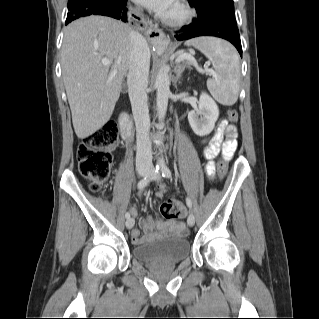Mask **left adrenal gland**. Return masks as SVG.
<instances>
[{
  "instance_id": "a2214340",
  "label": "left adrenal gland",
  "mask_w": 319,
  "mask_h": 319,
  "mask_svg": "<svg viewBox=\"0 0 319 319\" xmlns=\"http://www.w3.org/2000/svg\"><path fill=\"white\" fill-rule=\"evenodd\" d=\"M184 69H185V67L182 66V65H177V66L175 67V69H174L175 74H176V76H175V81H178V80L181 78V75H182Z\"/></svg>"
}]
</instances>
